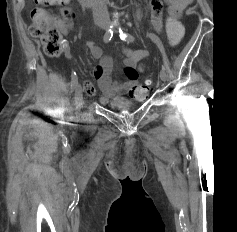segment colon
<instances>
[{"label": "colon", "mask_w": 237, "mask_h": 232, "mask_svg": "<svg viewBox=\"0 0 237 232\" xmlns=\"http://www.w3.org/2000/svg\"><path fill=\"white\" fill-rule=\"evenodd\" d=\"M44 6L64 5L65 0H36ZM75 13L71 8H65L64 17L70 20ZM32 23L29 27V33L32 37L39 39L44 52L48 56H58L64 46L63 36L58 28L55 18L44 8H34L31 13ZM166 32L169 43L176 46L182 40L184 29L178 19L168 17L166 20ZM145 87L151 88V83L146 82Z\"/></svg>", "instance_id": "1"}]
</instances>
